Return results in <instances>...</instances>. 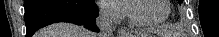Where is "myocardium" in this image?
Returning a JSON list of instances; mask_svg holds the SVG:
<instances>
[{
	"label": "myocardium",
	"mask_w": 219,
	"mask_h": 37,
	"mask_svg": "<svg viewBox=\"0 0 219 37\" xmlns=\"http://www.w3.org/2000/svg\"><path fill=\"white\" fill-rule=\"evenodd\" d=\"M137 1H142V0H131L127 2V12H128V17L132 25L136 27H158L166 22V20L169 18L171 14V4L170 1L168 0H162L165 8H166V13L165 15L154 21H144L136 18V16L133 13V3Z\"/></svg>",
	"instance_id": "myocardium-1"
}]
</instances>
